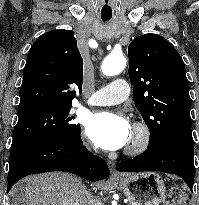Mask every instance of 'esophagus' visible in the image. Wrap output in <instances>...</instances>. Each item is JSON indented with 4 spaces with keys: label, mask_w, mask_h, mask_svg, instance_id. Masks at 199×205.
Segmentation results:
<instances>
[{
    "label": "esophagus",
    "mask_w": 199,
    "mask_h": 205,
    "mask_svg": "<svg viewBox=\"0 0 199 205\" xmlns=\"http://www.w3.org/2000/svg\"><path fill=\"white\" fill-rule=\"evenodd\" d=\"M107 164H108V167H109V169H110V171H111V175L113 176V177H119L120 176V174L116 171V169H115V163L113 162V161H111V160H108L107 161Z\"/></svg>",
    "instance_id": "34e87169"
}]
</instances>
